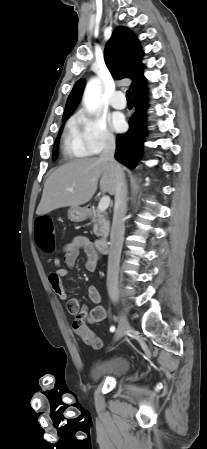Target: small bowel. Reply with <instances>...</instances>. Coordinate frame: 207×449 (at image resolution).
<instances>
[{
    "label": "small bowel",
    "mask_w": 207,
    "mask_h": 449,
    "mask_svg": "<svg viewBox=\"0 0 207 449\" xmlns=\"http://www.w3.org/2000/svg\"><path fill=\"white\" fill-rule=\"evenodd\" d=\"M80 251L85 254V267L93 272L97 269L100 256L93 247L90 239L84 235H76L63 246V257H56L53 264L56 269L49 275V283L53 292L62 300L68 298V290L64 286L63 278L68 275L69 268L75 266ZM66 267H63L62 264ZM88 298L94 304L91 310L82 306L79 300L72 298L67 301V311L77 318L89 323H97L106 318V310L100 305L101 296L96 286L88 288Z\"/></svg>",
    "instance_id": "obj_1"
}]
</instances>
